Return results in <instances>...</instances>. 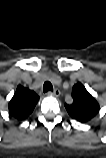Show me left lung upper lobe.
Returning <instances> with one entry per match:
<instances>
[{
  "mask_svg": "<svg viewBox=\"0 0 106 158\" xmlns=\"http://www.w3.org/2000/svg\"><path fill=\"white\" fill-rule=\"evenodd\" d=\"M72 98V104H65V108L72 118L84 123L98 114L100 109L98 102L81 83L73 86Z\"/></svg>",
  "mask_w": 106,
  "mask_h": 158,
  "instance_id": "1",
  "label": "left lung upper lobe"
}]
</instances>
